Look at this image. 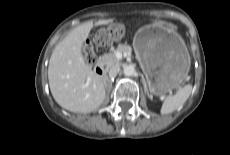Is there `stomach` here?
Segmentation results:
<instances>
[{"instance_id":"obj_1","label":"stomach","mask_w":230,"mask_h":155,"mask_svg":"<svg viewBox=\"0 0 230 155\" xmlns=\"http://www.w3.org/2000/svg\"><path fill=\"white\" fill-rule=\"evenodd\" d=\"M133 48L153 95L164 96L186 79L190 56L179 34L146 25L136 32Z\"/></svg>"}]
</instances>
